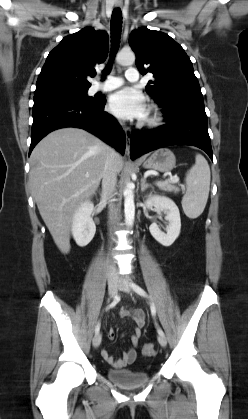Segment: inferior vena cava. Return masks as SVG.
Listing matches in <instances>:
<instances>
[{
  "instance_id": "obj_1",
  "label": "inferior vena cava",
  "mask_w": 248,
  "mask_h": 419,
  "mask_svg": "<svg viewBox=\"0 0 248 419\" xmlns=\"http://www.w3.org/2000/svg\"><path fill=\"white\" fill-rule=\"evenodd\" d=\"M116 151L113 148H109L108 157L104 166V171L102 174V198L104 200H110L115 191V186L117 183V167L115 164ZM109 219L112 222L115 219V209L113 204L109 206ZM109 276L116 277V267L114 263H111L109 266Z\"/></svg>"
}]
</instances>
